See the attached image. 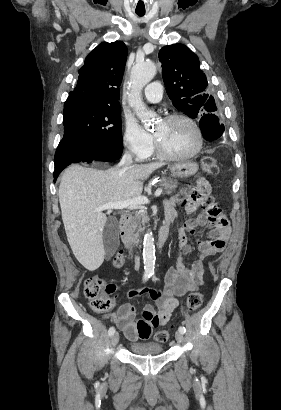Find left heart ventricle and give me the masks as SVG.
Instances as JSON below:
<instances>
[{"label":"left heart ventricle","mask_w":281,"mask_h":410,"mask_svg":"<svg viewBox=\"0 0 281 410\" xmlns=\"http://www.w3.org/2000/svg\"><path fill=\"white\" fill-rule=\"evenodd\" d=\"M161 145L172 154H186L197 145L193 127L184 120L159 121L153 130Z\"/></svg>","instance_id":"b2bd125f"}]
</instances>
